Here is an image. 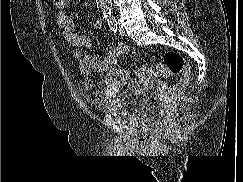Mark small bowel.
<instances>
[{"label":"small bowel","mask_w":243,"mask_h":182,"mask_svg":"<svg viewBox=\"0 0 243 182\" xmlns=\"http://www.w3.org/2000/svg\"><path fill=\"white\" fill-rule=\"evenodd\" d=\"M75 18V14H68L64 11L57 13V24L64 39L73 46V55L78 60L80 72L84 76L83 87L86 90H94L95 83L90 75L103 74L104 88L93 91L96 98L102 96L114 98L121 90H124V93L138 91L141 83L133 80L127 71L117 68V62L127 52V46L117 43L111 46L103 57L97 54H89L92 48L91 39L76 32ZM102 27L103 22L101 20L95 21V29Z\"/></svg>","instance_id":"obj_1"}]
</instances>
